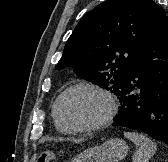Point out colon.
<instances>
[{
	"label": "colon",
	"mask_w": 168,
	"mask_h": 162,
	"mask_svg": "<svg viewBox=\"0 0 168 162\" xmlns=\"http://www.w3.org/2000/svg\"><path fill=\"white\" fill-rule=\"evenodd\" d=\"M55 159V154L51 151H44L42 152L36 162H51Z\"/></svg>",
	"instance_id": "colon-1"
}]
</instances>
